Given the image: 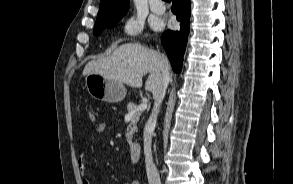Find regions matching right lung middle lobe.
<instances>
[{"label": "right lung middle lobe", "mask_w": 293, "mask_h": 184, "mask_svg": "<svg viewBox=\"0 0 293 184\" xmlns=\"http://www.w3.org/2000/svg\"><path fill=\"white\" fill-rule=\"evenodd\" d=\"M119 20H116V21H113V22H110V23H105V24H95V26H94V34L99 35V34L102 33V31L105 28H112Z\"/></svg>", "instance_id": "dd1d6c3e"}]
</instances>
